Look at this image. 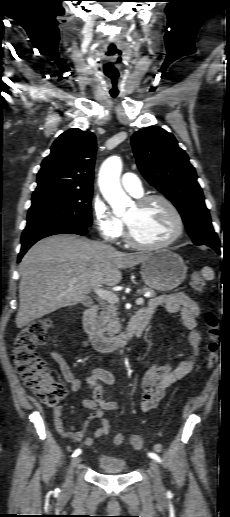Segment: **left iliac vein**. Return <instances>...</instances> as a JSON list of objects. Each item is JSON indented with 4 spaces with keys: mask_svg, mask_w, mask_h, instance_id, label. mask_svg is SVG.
<instances>
[{
    "mask_svg": "<svg viewBox=\"0 0 230 517\" xmlns=\"http://www.w3.org/2000/svg\"><path fill=\"white\" fill-rule=\"evenodd\" d=\"M149 465L151 469V475L153 478L154 491L156 492V494L161 495L164 493V487L162 484L159 466L155 460H150Z\"/></svg>",
    "mask_w": 230,
    "mask_h": 517,
    "instance_id": "left-iliac-vein-1",
    "label": "left iliac vein"
}]
</instances>
